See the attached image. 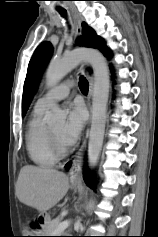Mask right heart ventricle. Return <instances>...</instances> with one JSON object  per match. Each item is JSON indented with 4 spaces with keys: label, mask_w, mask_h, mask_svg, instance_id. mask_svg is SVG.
<instances>
[{
    "label": "right heart ventricle",
    "mask_w": 158,
    "mask_h": 237,
    "mask_svg": "<svg viewBox=\"0 0 158 237\" xmlns=\"http://www.w3.org/2000/svg\"><path fill=\"white\" fill-rule=\"evenodd\" d=\"M47 108L35 105L26 131V148L29 157L41 167L53 166L57 160L48 140V127L43 121Z\"/></svg>",
    "instance_id": "obj_1"
}]
</instances>
